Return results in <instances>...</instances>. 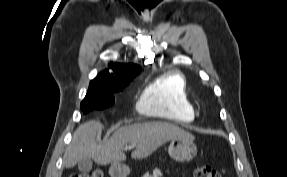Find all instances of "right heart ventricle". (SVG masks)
<instances>
[{
	"label": "right heart ventricle",
	"instance_id": "1",
	"mask_svg": "<svg viewBox=\"0 0 287 177\" xmlns=\"http://www.w3.org/2000/svg\"><path fill=\"white\" fill-rule=\"evenodd\" d=\"M138 108L148 117L168 122L186 123L195 116L188 80L178 71L151 82L143 91Z\"/></svg>",
	"mask_w": 287,
	"mask_h": 177
}]
</instances>
